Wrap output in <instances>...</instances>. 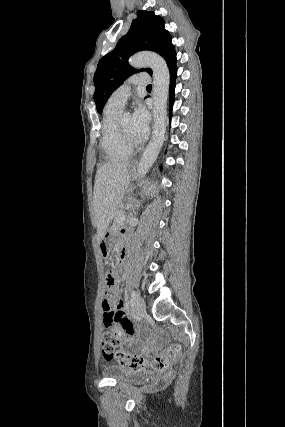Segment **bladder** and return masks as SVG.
Segmentation results:
<instances>
[{"label": "bladder", "instance_id": "1", "mask_svg": "<svg viewBox=\"0 0 285 427\" xmlns=\"http://www.w3.org/2000/svg\"><path fill=\"white\" fill-rule=\"evenodd\" d=\"M102 373L112 378L116 381H135V382H143L150 379V373L142 370H135L133 372H128L124 368L116 364H110L106 366Z\"/></svg>", "mask_w": 285, "mask_h": 427}]
</instances>
